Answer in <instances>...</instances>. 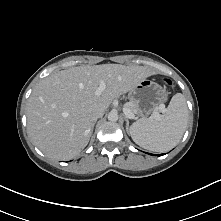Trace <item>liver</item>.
Instances as JSON below:
<instances>
[{
    "instance_id": "liver-1",
    "label": "liver",
    "mask_w": 221,
    "mask_h": 221,
    "mask_svg": "<svg viewBox=\"0 0 221 221\" xmlns=\"http://www.w3.org/2000/svg\"><path fill=\"white\" fill-rule=\"evenodd\" d=\"M156 74L144 66L102 64L62 70L42 79L27 103L28 133L49 158L70 160L87 146L92 115ZM101 81V95L95 94Z\"/></svg>"
}]
</instances>
